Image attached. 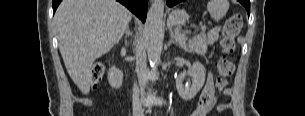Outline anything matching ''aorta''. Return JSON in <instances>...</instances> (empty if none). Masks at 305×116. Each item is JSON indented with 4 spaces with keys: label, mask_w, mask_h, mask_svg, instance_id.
<instances>
[{
    "label": "aorta",
    "mask_w": 305,
    "mask_h": 116,
    "mask_svg": "<svg viewBox=\"0 0 305 116\" xmlns=\"http://www.w3.org/2000/svg\"><path fill=\"white\" fill-rule=\"evenodd\" d=\"M164 1L155 0L151 5L144 27L145 46L152 70L160 63L163 38Z\"/></svg>",
    "instance_id": "aorta-1"
}]
</instances>
